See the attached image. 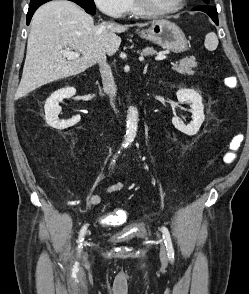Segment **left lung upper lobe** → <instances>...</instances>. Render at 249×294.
I'll list each match as a JSON object with an SVG mask.
<instances>
[{
	"label": "left lung upper lobe",
	"mask_w": 249,
	"mask_h": 294,
	"mask_svg": "<svg viewBox=\"0 0 249 294\" xmlns=\"http://www.w3.org/2000/svg\"><path fill=\"white\" fill-rule=\"evenodd\" d=\"M204 3L209 4V0H202Z\"/></svg>",
	"instance_id": "obj_1"
}]
</instances>
